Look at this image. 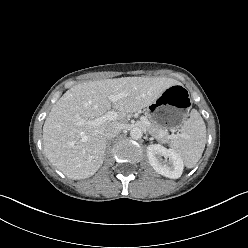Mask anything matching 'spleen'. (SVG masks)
I'll list each match as a JSON object with an SVG mask.
<instances>
[{
    "instance_id": "1",
    "label": "spleen",
    "mask_w": 248,
    "mask_h": 248,
    "mask_svg": "<svg viewBox=\"0 0 248 248\" xmlns=\"http://www.w3.org/2000/svg\"><path fill=\"white\" fill-rule=\"evenodd\" d=\"M180 133L170 143L187 168H193L202 156L206 144V126L199 114L193 109L190 118L179 129Z\"/></svg>"
}]
</instances>
